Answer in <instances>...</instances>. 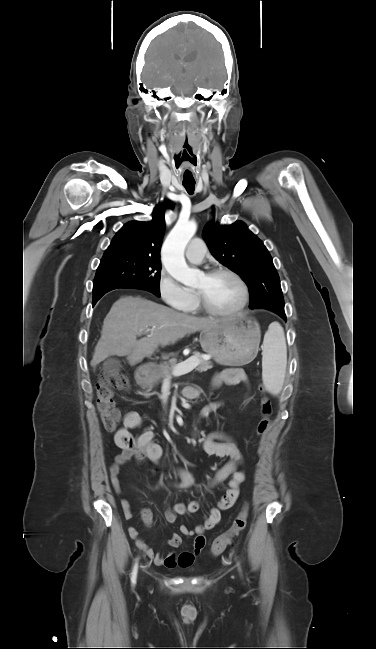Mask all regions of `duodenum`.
<instances>
[{"label":"duodenum","instance_id":"duodenum-1","mask_svg":"<svg viewBox=\"0 0 376 649\" xmlns=\"http://www.w3.org/2000/svg\"><path fill=\"white\" fill-rule=\"evenodd\" d=\"M148 378V368L147 367H142L138 370L137 373V381L139 383H144Z\"/></svg>","mask_w":376,"mask_h":649}]
</instances>
